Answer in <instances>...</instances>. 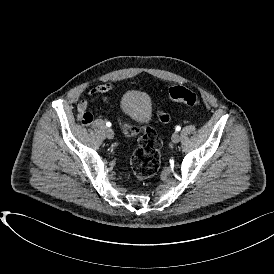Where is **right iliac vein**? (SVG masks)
<instances>
[{"mask_svg": "<svg viewBox=\"0 0 274 274\" xmlns=\"http://www.w3.org/2000/svg\"><path fill=\"white\" fill-rule=\"evenodd\" d=\"M106 137L108 139H112L114 137V132H113V130L111 128H107L106 129Z\"/></svg>", "mask_w": 274, "mask_h": 274, "instance_id": "63e3f726", "label": "right iliac vein"}]
</instances>
